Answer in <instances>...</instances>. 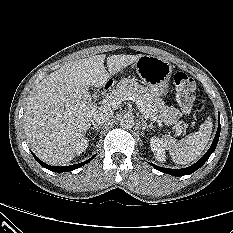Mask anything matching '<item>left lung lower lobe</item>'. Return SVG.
I'll list each match as a JSON object with an SVG mask.
<instances>
[{
	"label": "left lung lower lobe",
	"instance_id": "obj_1",
	"mask_svg": "<svg viewBox=\"0 0 233 233\" xmlns=\"http://www.w3.org/2000/svg\"><path fill=\"white\" fill-rule=\"evenodd\" d=\"M220 130H221V125L220 122L218 124V129L215 135V138L212 142V145L210 147V149L206 152V154L195 164L187 167V168H183V169H169V168H163V167H159L156 166L154 164H151L155 169L162 171L164 173L173 175V176H184V175H188V174H192L193 172H195L197 169H199L210 157V155L215 151V148L217 146L218 143V139L220 136Z\"/></svg>",
	"mask_w": 233,
	"mask_h": 233
}]
</instances>
